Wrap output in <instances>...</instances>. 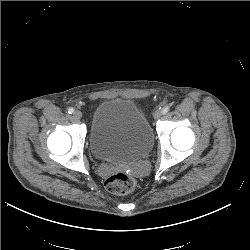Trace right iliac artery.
Masks as SVG:
<instances>
[{
  "mask_svg": "<svg viewBox=\"0 0 250 250\" xmlns=\"http://www.w3.org/2000/svg\"><path fill=\"white\" fill-rule=\"evenodd\" d=\"M68 113H69V114L74 113V109H73V108H69V109H68Z\"/></svg>",
  "mask_w": 250,
  "mask_h": 250,
  "instance_id": "82829eb1",
  "label": "right iliac artery"
}]
</instances>
